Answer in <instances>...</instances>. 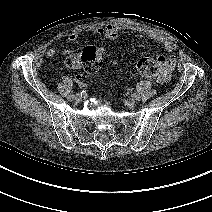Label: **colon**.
<instances>
[{"label":"colon","mask_w":212,"mask_h":212,"mask_svg":"<svg viewBox=\"0 0 212 212\" xmlns=\"http://www.w3.org/2000/svg\"><path fill=\"white\" fill-rule=\"evenodd\" d=\"M102 63V52L99 48L88 47L82 54L67 59L71 69H84L89 73L96 72ZM164 61L161 57H142L134 65L133 72L147 78H160Z\"/></svg>","instance_id":"1"}]
</instances>
